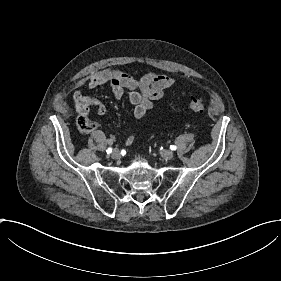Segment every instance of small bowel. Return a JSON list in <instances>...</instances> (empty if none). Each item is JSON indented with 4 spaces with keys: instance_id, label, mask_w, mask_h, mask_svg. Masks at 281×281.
Instances as JSON below:
<instances>
[{
    "instance_id": "1",
    "label": "small bowel",
    "mask_w": 281,
    "mask_h": 281,
    "mask_svg": "<svg viewBox=\"0 0 281 281\" xmlns=\"http://www.w3.org/2000/svg\"><path fill=\"white\" fill-rule=\"evenodd\" d=\"M172 78L156 72H149L141 78H135L120 70L101 69L91 74L87 78L77 81L76 91L73 95V101L76 111L80 114L87 113L91 106H95L98 113H106V106L98 97H86L81 88H94L103 85H109L115 99H121L124 96V89L129 91L128 99L135 106L133 114L135 117H142L153 106L155 100L162 98L166 90L173 85ZM133 141L130 136L126 140L129 145Z\"/></svg>"
}]
</instances>
